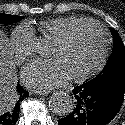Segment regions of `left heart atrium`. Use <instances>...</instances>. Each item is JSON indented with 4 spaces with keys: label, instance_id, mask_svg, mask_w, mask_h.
Listing matches in <instances>:
<instances>
[{
    "label": "left heart atrium",
    "instance_id": "39dd6f15",
    "mask_svg": "<svg viewBox=\"0 0 125 125\" xmlns=\"http://www.w3.org/2000/svg\"><path fill=\"white\" fill-rule=\"evenodd\" d=\"M72 78L59 58L35 60L22 71L23 82L37 91H48L64 85Z\"/></svg>",
    "mask_w": 125,
    "mask_h": 125
}]
</instances>
